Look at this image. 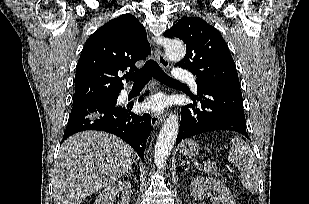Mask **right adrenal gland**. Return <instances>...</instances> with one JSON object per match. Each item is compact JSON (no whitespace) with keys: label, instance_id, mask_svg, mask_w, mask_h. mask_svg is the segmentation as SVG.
Masks as SVG:
<instances>
[{"label":"right adrenal gland","instance_id":"right-adrenal-gland-1","mask_svg":"<svg viewBox=\"0 0 309 204\" xmlns=\"http://www.w3.org/2000/svg\"><path fill=\"white\" fill-rule=\"evenodd\" d=\"M128 175L133 176V170H132V168L129 169ZM135 179H136V177H135Z\"/></svg>","mask_w":309,"mask_h":204}]
</instances>
